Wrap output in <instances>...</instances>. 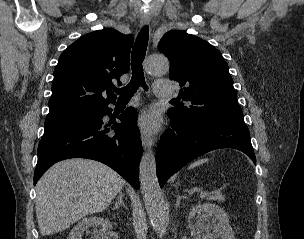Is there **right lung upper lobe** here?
<instances>
[{
    "instance_id": "1",
    "label": "right lung upper lobe",
    "mask_w": 304,
    "mask_h": 239,
    "mask_svg": "<svg viewBox=\"0 0 304 239\" xmlns=\"http://www.w3.org/2000/svg\"><path fill=\"white\" fill-rule=\"evenodd\" d=\"M132 45V36L109 28L86 34L70 45L54 70L46 121L71 118L115 102L112 81L120 84V76L129 70Z\"/></svg>"
}]
</instances>
